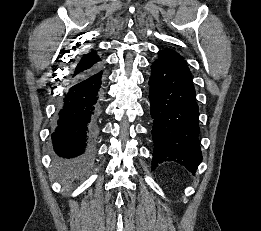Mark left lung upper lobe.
<instances>
[{
  "label": "left lung upper lobe",
  "instance_id": "left-lung-upper-lobe-1",
  "mask_svg": "<svg viewBox=\"0 0 261 231\" xmlns=\"http://www.w3.org/2000/svg\"><path fill=\"white\" fill-rule=\"evenodd\" d=\"M159 54L166 57L169 61H171L175 66L180 68L186 74L192 76L184 58L180 54H178L176 51H174L172 49H165V50L159 51Z\"/></svg>",
  "mask_w": 261,
  "mask_h": 231
}]
</instances>
